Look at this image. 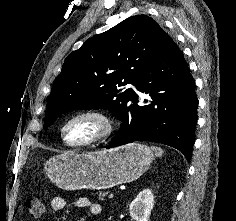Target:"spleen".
<instances>
[{"label":"spleen","mask_w":236,"mask_h":221,"mask_svg":"<svg viewBox=\"0 0 236 221\" xmlns=\"http://www.w3.org/2000/svg\"><path fill=\"white\" fill-rule=\"evenodd\" d=\"M152 150L155 152L156 156H161L163 154V150L157 146H151Z\"/></svg>","instance_id":"obj_1"}]
</instances>
